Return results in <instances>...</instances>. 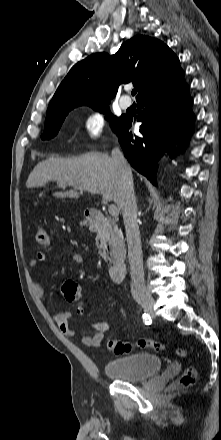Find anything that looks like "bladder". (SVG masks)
I'll use <instances>...</instances> for the list:
<instances>
[{
	"instance_id": "obj_1",
	"label": "bladder",
	"mask_w": 221,
	"mask_h": 440,
	"mask_svg": "<svg viewBox=\"0 0 221 440\" xmlns=\"http://www.w3.org/2000/svg\"><path fill=\"white\" fill-rule=\"evenodd\" d=\"M162 364L158 355L137 353L108 360L104 372L114 379L139 382L158 374Z\"/></svg>"
}]
</instances>
